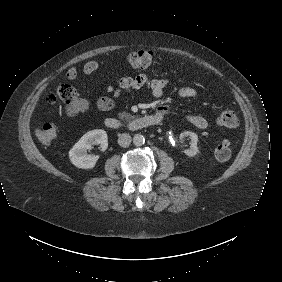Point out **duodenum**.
<instances>
[{
  "mask_svg": "<svg viewBox=\"0 0 282 282\" xmlns=\"http://www.w3.org/2000/svg\"><path fill=\"white\" fill-rule=\"evenodd\" d=\"M163 117L158 114H147L135 117L129 121H122L116 117L105 119L106 127L113 130L137 131L143 128L151 127L162 122Z\"/></svg>",
  "mask_w": 282,
  "mask_h": 282,
  "instance_id": "obj_1",
  "label": "duodenum"
}]
</instances>
